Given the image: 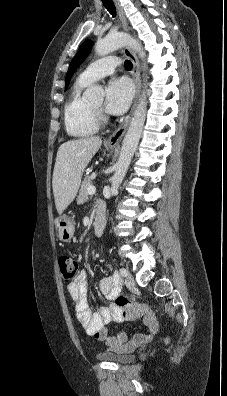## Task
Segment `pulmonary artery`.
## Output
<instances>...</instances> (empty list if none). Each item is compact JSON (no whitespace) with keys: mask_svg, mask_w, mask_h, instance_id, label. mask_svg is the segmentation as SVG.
Instances as JSON below:
<instances>
[{"mask_svg":"<svg viewBox=\"0 0 227 396\" xmlns=\"http://www.w3.org/2000/svg\"><path fill=\"white\" fill-rule=\"evenodd\" d=\"M119 64L120 60L115 56L101 58L89 64L82 71L79 78L88 83L94 82L104 76L112 74Z\"/></svg>","mask_w":227,"mask_h":396,"instance_id":"obj_1","label":"pulmonary artery"}]
</instances>
